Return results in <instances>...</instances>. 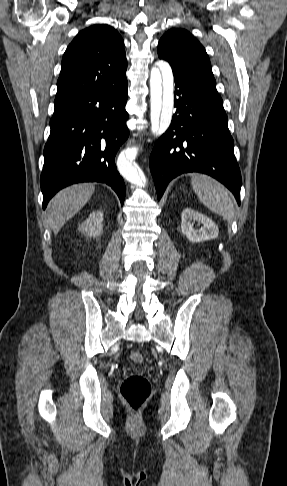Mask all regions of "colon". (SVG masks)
<instances>
[{"mask_svg":"<svg viewBox=\"0 0 287 486\" xmlns=\"http://www.w3.org/2000/svg\"><path fill=\"white\" fill-rule=\"evenodd\" d=\"M129 358L137 365H144L145 359L140 352H131ZM151 392V383L143 371L129 374L120 386V394L123 401L133 411L140 410L146 404Z\"/></svg>","mask_w":287,"mask_h":486,"instance_id":"5ec220e1","label":"colon"}]
</instances>
